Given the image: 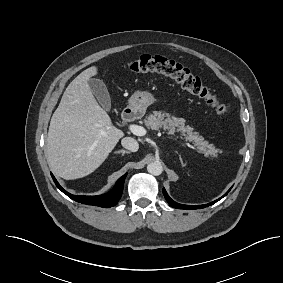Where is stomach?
<instances>
[{
	"label": "stomach",
	"mask_w": 283,
	"mask_h": 283,
	"mask_svg": "<svg viewBox=\"0 0 283 283\" xmlns=\"http://www.w3.org/2000/svg\"><path fill=\"white\" fill-rule=\"evenodd\" d=\"M155 97L148 91L135 92L128 101V108L138 115H144L148 106L153 104Z\"/></svg>",
	"instance_id": "1"
}]
</instances>
